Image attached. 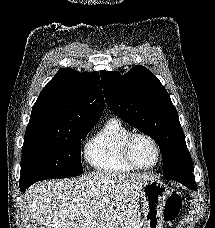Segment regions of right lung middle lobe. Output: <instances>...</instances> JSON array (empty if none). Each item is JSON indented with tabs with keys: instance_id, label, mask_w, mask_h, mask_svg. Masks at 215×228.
I'll return each instance as SVG.
<instances>
[{
	"instance_id": "dd1d6c3e",
	"label": "right lung middle lobe",
	"mask_w": 215,
	"mask_h": 228,
	"mask_svg": "<svg viewBox=\"0 0 215 228\" xmlns=\"http://www.w3.org/2000/svg\"><path fill=\"white\" fill-rule=\"evenodd\" d=\"M97 122L75 123L26 132L22 148L20 184L67 178L83 173L81 140Z\"/></svg>"
}]
</instances>
